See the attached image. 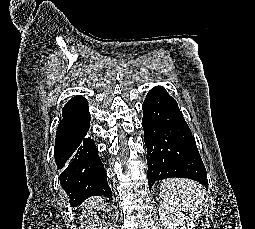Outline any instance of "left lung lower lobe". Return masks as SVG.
Listing matches in <instances>:
<instances>
[{"instance_id": "0a47b994", "label": "left lung lower lobe", "mask_w": 255, "mask_h": 229, "mask_svg": "<svg viewBox=\"0 0 255 229\" xmlns=\"http://www.w3.org/2000/svg\"><path fill=\"white\" fill-rule=\"evenodd\" d=\"M149 189L160 179L189 178L208 188L207 173L177 102L161 86L142 105Z\"/></svg>"}]
</instances>
